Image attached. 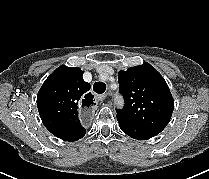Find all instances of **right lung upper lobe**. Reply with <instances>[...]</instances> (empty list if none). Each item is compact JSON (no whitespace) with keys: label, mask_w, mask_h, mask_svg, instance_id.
Returning <instances> with one entry per match:
<instances>
[{"label":"right lung upper lobe","mask_w":209,"mask_h":179,"mask_svg":"<svg viewBox=\"0 0 209 179\" xmlns=\"http://www.w3.org/2000/svg\"><path fill=\"white\" fill-rule=\"evenodd\" d=\"M78 67L61 66L43 83L37 95V107L45 127L65 141H77L85 133L78 109L95 105L89 92L90 84L83 80Z\"/></svg>","instance_id":"obj_1"}]
</instances>
